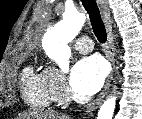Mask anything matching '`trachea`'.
<instances>
[{"mask_svg": "<svg viewBox=\"0 0 142 119\" xmlns=\"http://www.w3.org/2000/svg\"><path fill=\"white\" fill-rule=\"evenodd\" d=\"M85 10L89 14L93 32L100 43L107 40V33L95 0H81Z\"/></svg>", "mask_w": 142, "mask_h": 119, "instance_id": "1", "label": "trachea"}]
</instances>
